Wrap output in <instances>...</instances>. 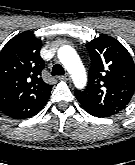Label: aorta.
<instances>
[{"instance_id":"obj_1","label":"aorta","mask_w":135,"mask_h":165,"mask_svg":"<svg viewBox=\"0 0 135 165\" xmlns=\"http://www.w3.org/2000/svg\"><path fill=\"white\" fill-rule=\"evenodd\" d=\"M58 58L71 74L75 86L77 88H84L87 82V76L75 49L68 45L62 46L58 50Z\"/></svg>"}]
</instances>
